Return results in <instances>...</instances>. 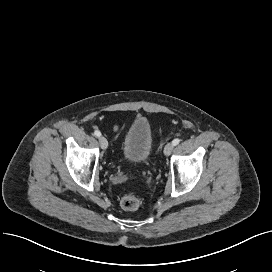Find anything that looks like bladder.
<instances>
[{
  "mask_svg": "<svg viewBox=\"0 0 272 272\" xmlns=\"http://www.w3.org/2000/svg\"><path fill=\"white\" fill-rule=\"evenodd\" d=\"M153 134L149 120L136 117L129 124L123 138L122 155L132 163H141L149 158L153 150Z\"/></svg>",
  "mask_w": 272,
  "mask_h": 272,
  "instance_id": "31cf9c89",
  "label": "bladder"
}]
</instances>
